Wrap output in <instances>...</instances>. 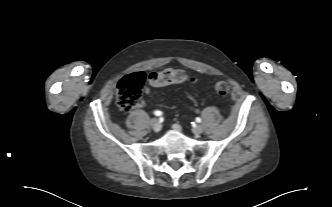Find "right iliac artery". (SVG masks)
Segmentation results:
<instances>
[{"mask_svg": "<svg viewBox=\"0 0 332 207\" xmlns=\"http://www.w3.org/2000/svg\"><path fill=\"white\" fill-rule=\"evenodd\" d=\"M154 115H156V116H161V115H162V112H161V111H155V112H154Z\"/></svg>", "mask_w": 332, "mask_h": 207, "instance_id": "82829eb1", "label": "right iliac artery"}]
</instances>
